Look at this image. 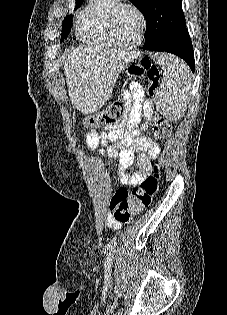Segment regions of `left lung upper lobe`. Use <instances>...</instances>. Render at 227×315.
<instances>
[{
  "label": "left lung upper lobe",
  "mask_w": 227,
  "mask_h": 315,
  "mask_svg": "<svg viewBox=\"0 0 227 315\" xmlns=\"http://www.w3.org/2000/svg\"><path fill=\"white\" fill-rule=\"evenodd\" d=\"M144 15L145 45L156 44L186 28L181 0H130Z\"/></svg>",
  "instance_id": "1"
}]
</instances>
